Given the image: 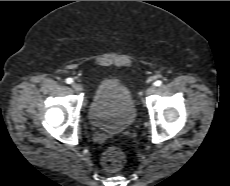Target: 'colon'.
<instances>
[{
    "mask_svg": "<svg viewBox=\"0 0 230 186\" xmlns=\"http://www.w3.org/2000/svg\"><path fill=\"white\" fill-rule=\"evenodd\" d=\"M103 167L111 172L120 170L125 164L124 153L116 148H109L101 156Z\"/></svg>",
    "mask_w": 230,
    "mask_h": 186,
    "instance_id": "colon-1",
    "label": "colon"
}]
</instances>
